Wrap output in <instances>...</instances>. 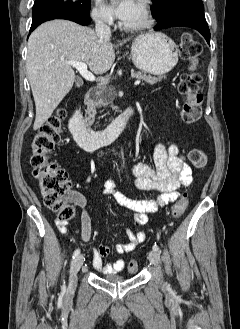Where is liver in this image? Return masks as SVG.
I'll use <instances>...</instances> for the list:
<instances>
[{
	"mask_svg": "<svg viewBox=\"0 0 240 329\" xmlns=\"http://www.w3.org/2000/svg\"><path fill=\"white\" fill-rule=\"evenodd\" d=\"M110 39L66 20L40 25L29 37L27 74L36 106L33 129H39L71 90L75 73L66 61L85 63L95 74L107 72L115 60Z\"/></svg>",
	"mask_w": 240,
	"mask_h": 329,
	"instance_id": "6515ba94",
	"label": "liver"
}]
</instances>
